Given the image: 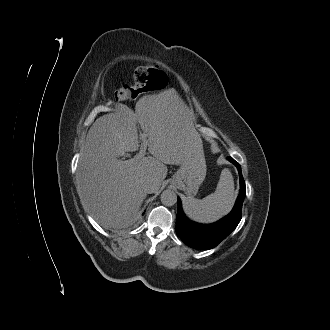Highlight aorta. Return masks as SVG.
I'll use <instances>...</instances> for the list:
<instances>
[{
	"instance_id": "762f6f07",
	"label": "aorta",
	"mask_w": 330,
	"mask_h": 330,
	"mask_svg": "<svg viewBox=\"0 0 330 330\" xmlns=\"http://www.w3.org/2000/svg\"><path fill=\"white\" fill-rule=\"evenodd\" d=\"M161 202L165 206H173L177 203V195L173 190L166 189L161 194Z\"/></svg>"
}]
</instances>
